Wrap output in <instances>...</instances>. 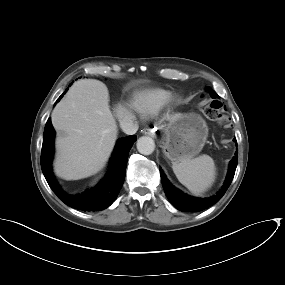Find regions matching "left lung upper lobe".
I'll use <instances>...</instances> for the list:
<instances>
[{"mask_svg":"<svg viewBox=\"0 0 285 285\" xmlns=\"http://www.w3.org/2000/svg\"><path fill=\"white\" fill-rule=\"evenodd\" d=\"M209 91H210V93H211L212 98L219 97V96L217 95V93H216L215 91H213L212 89H209Z\"/></svg>","mask_w":285,"mask_h":285,"instance_id":"left-lung-upper-lobe-1","label":"left lung upper lobe"}]
</instances>
